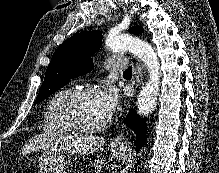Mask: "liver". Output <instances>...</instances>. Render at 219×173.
<instances>
[{"label":"liver","instance_id":"liver-1","mask_svg":"<svg viewBox=\"0 0 219 173\" xmlns=\"http://www.w3.org/2000/svg\"><path fill=\"white\" fill-rule=\"evenodd\" d=\"M105 143V139L97 136H69L53 138L48 135H37L30 139L23 147L22 154L31 151L53 149L55 151L67 152L69 154L86 155L98 150Z\"/></svg>","mask_w":219,"mask_h":173}]
</instances>
